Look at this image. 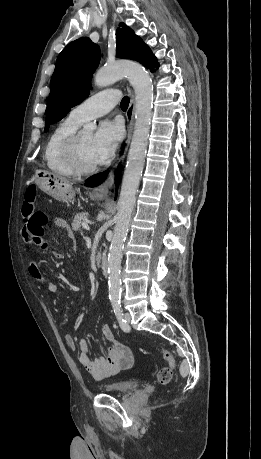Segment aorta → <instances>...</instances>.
Segmentation results:
<instances>
[{
  "label": "aorta",
  "mask_w": 261,
  "mask_h": 459,
  "mask_svg": "<svg viewBox=\"0 0 261 459\" xmlns=\"http://www.w3.org/2000/svg\"><path fill=\"white\" fill-rule=\"evenodd\" d=\"M123 77H127L135 92V125L118 200L116 224L108 254L109 298L112 301H118L121 295L120 268L123 247L145 164L153 107L152 80L138 63L119 62L103 67L97 71L94 82L98 87H106ZM95 128L94 123L83 126V130L90 133Z\"/></svg>",
  "instance_id": "1"
}]
</instances>
